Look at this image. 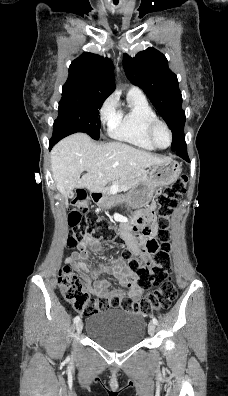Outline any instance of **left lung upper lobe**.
<instances>
[{
    "label": "left lung upper lobe",
    "instance_id": "5c2ea615",
    "mask_svg": "<svg viewBox=\"0 0 228 396\" xmlns=\"http://www.w3.org/2000/svg\"><path fill=\"white\" fill-rule=\"evenodd\" d=\"M127 78L143 89L172 131L173 151L184 158L187 148L184 137L185 112L177 76L170 71L166 57L153 47L134 58L123 55Z\"/></svg>",
    "mask_w": 228,
    "mask_h": 396
}]
</instances>
